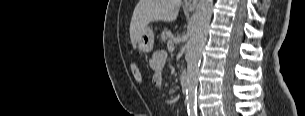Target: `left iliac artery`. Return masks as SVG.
<instances>
[{
	"mask_svg": "<svg viewBox=\"0 0 305 116\" xmlns=\"http://www.w3.org/2000/svg\"><path fill=\"white\" fill-rule=\"evenodd\" d=\"M191 116H197V114H191Z\"/></svg>",
	"mask_w": 305,
	"mask_h": 116,
	"instance_id": "obj_1",
	"label": "left iliac artery"
}]
</instances>
